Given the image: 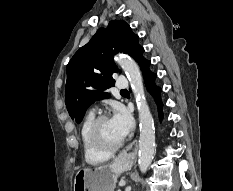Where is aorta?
Instances as JSON below:
<instances>
[{"mask_svg": "<svg viewBox=\"0 0 233 191\" xmlns=\"http://www.w3.org/2000/svg\"><path fill=\"white\" fill-rule=\"evenodd\" d=\"M115 60L125 72L136 100L140 128L138 164L140 171L145 173L155 155V128L145 98L141 71L138 64L129 56L119 55Z\"/></svg>", "mask_w": 233, "mask_h": 191, "instance_id": "762f6f07", "label": "aorta"}]
</instances>
